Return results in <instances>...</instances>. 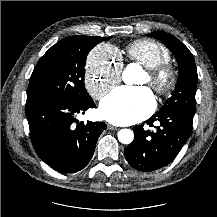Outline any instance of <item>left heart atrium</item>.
I'll list each match as a JSON object with an SVG mask.
<instances>
[{
  "label": "left heart atrium",
  "mask_w": 217,
  "mask_h": 217,
  "mask_svg": "<svg viewBox=\"0 0 217 217\" xmlns=\"http://www.w3.org/2000/svg\"><path fill=\"white\" fill-rule=\"evenodd\" d=\"M153 108L154 98L147 87L122 86L103 98L100 114L111 123L125 125L142 120Z\"/></svg>",
  "instance_id": "obj_1"
}]
</instances>
